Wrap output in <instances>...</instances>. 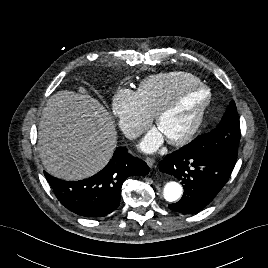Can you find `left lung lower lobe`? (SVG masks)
I'll list each match as a JSON object with an SVG mask.
<instances>
[{"label":"left lung lower lobe","mask_w":268,"mask_h":268,"mask_svg":"<svg viewBox=\"0 0 268 268\" xmlns=\"http://www.w3.org/2000/svg\"><path fill=\"white\" fill-rule=\"evenodd\" d=\"M235 162L222 156L184 151L168 154L160 162L161 172L181 180L184 193L171 210L193 214L207 206L229 179Z\"/></svg>","instance_id":"0a47b994"}]
</instances>
